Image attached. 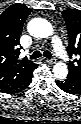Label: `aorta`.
I'll list each match as a JSON object with an SVG mask.
<instances>
[{
  "label": "aorta",
  "instance_id": "obj_1",
  "mask_svg": "<svg viewBox=\"0 0 81 124\" xmlns=\"http://www.w3.org/2000/svg\"><path fill=\"white\" fill-rule=\"evenodd\" d=\"M27 29L30 35L37 38H47L54 33L51 23L42 18L32 19ZM53 74L57 79H65L68 74L67 65L63 62L56 63L53 67Z\"/></svg>",
  "mask_w": 81,
  "mask_h": 124
}]
</instances>
